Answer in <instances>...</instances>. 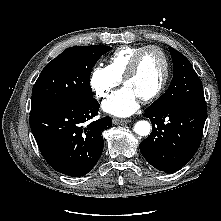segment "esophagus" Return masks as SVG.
I'll return each instance as SVG.
<instances>
[{
    "label": "esophagus",
    "mask_w": 221,
    "mask_h": 221,
    "mask_svg": "<svg viewBox=\"0 0 221 221\" xmlns=\"http://www.w3.org/2000/svg\"><path fill=\"white\" fill-rule=\"evenodd\" d=\"M130 120L129 119H119V118H114L113 119V123L115 125H122V124H126V123H129Z\"/></svg>",
    "instance_id": "34e87169"
}]
</instances>
